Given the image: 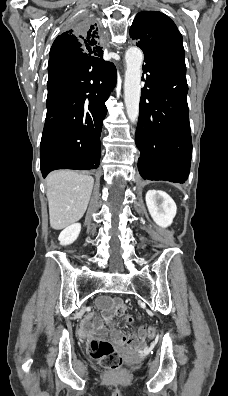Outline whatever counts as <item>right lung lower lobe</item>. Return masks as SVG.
Masks as SVG:
<instances>
[{"label": "right lung lower lobe", "instance_id": "1", "mask_svg": "<svg viewBox=\"0 0 228 396\" xmlns=\"http://www.w3.org/2000/svg\"><path fill=\"white\" fill-rule=\"evenodd\" d=\"M48 80L47 114L40 143L41 172L94 170L100 164V135L106 100L116 84L113 63L100 58L56 60Z\"/></svg>", "mask_w": 228, "mask_h": 396}]
</instances>
